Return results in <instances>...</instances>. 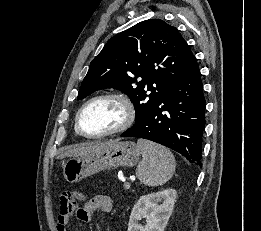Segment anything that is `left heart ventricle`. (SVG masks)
<instances>
[{
  "mask_svg": "<svg viewBox=\"0 0 261 231\" xmlns=\"http://www.w3.org/2000/svg\"><path fill=\"white\" fill-rule=\"evenodd\" d=\"M125 120L122 104L113 99L90 104L81 115V127L88 134H99L119 127Z\"/></svg>",
  "mask_w": 261,
  "mask_h": 231,
  "instance_id": "obj_1",
  "label": "left heart ventricle"
}]
</instances>
